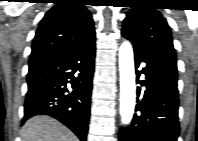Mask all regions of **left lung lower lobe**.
<instances>
[{"label": "left lung lower lobe", "mask_w": 198, "mask_h": 141, "mask_svg": "<svg viewBox=\"0 0 198 141\" xmlns=\"http://www.w3.org/2000/svg\"><path fill=\"white\" fill-rule=\"evenodd\" d=\"M135 66L145 74L137 83V113L131 124L119 132V141H177L178 120L177 58L171 51H148L133 44ZM138 72V71H137ZM139 77V76H138Z\"/></svg>", "instance_id": "1"}]
</instances>
